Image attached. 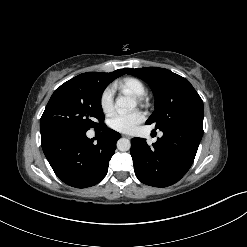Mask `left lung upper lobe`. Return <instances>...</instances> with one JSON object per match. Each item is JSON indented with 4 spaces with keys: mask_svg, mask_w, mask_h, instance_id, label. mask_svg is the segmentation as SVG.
<instances>
[{
    "mask_svg": "<svg viewBox=\"0 0 247 247\" xmlns=\"http://www.w3.org/2000/svg\"><path fill=\"white\" fill-rule=\"evenodd\" d=\"M124 72L146 81L155 97V110L146 124L168 130L182 125L203 134V101L189 81L164 68H128Z\"/></svg>",
    "mask_w": 247,
    "mask_h": 247,
    "instance_id": "left-lung-upper-lobe-1",
    "label": "left lung upper lobe"
}]
</instances>
